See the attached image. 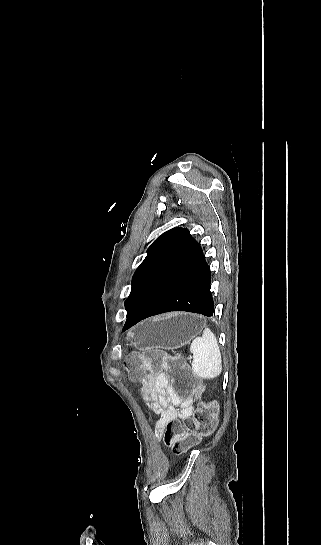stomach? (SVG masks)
<instances>
[{
  "label": "stomach",
  "instance_id": "1",
  "mask_svg": "<svg viewBox=\"0 0 321 545\" xmlns=\"http://www.w3.org/2000/svg\"><path fill=\"white\" fill-rule=\"evenodd\" d=\"M205 319L191 313H166L151 317L129 329L125 341L138 351L179 349L199 335Z\"/></svg>",
  "mask_w": 321,
  "mask_h": 545
}]
</instances>
